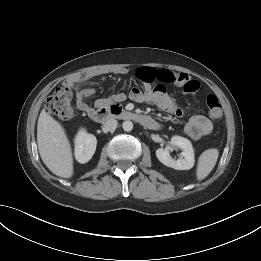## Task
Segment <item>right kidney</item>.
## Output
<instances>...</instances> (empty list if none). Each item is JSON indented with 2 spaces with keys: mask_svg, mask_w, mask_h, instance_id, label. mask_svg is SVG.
<instances>
[{
  "mask_svg": "<svg viewBox=\"0 0 261 261\" xmlns=\"http://www.w3.org/2000/svg\"><path fill=\"white\" fill-rule=\"evenodd\" d=\"M97 139L93 134H88L81 129L75 138V158L79 163L88 162L95 153Z\"/></svg>",
  "mask_w": 261,
  "mask_h": 261,
  "instance_id": "1",
  "label": "right kidney"
}]
</instances>
